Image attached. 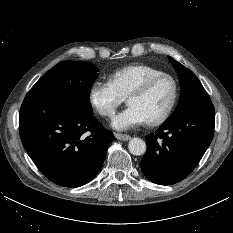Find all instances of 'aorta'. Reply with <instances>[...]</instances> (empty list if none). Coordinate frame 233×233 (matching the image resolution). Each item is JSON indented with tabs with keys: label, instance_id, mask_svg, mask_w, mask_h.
<instances>
[{
	"label": "aorta",
	"instance_id": "obj_1",
	"mask_svg": "<svg viewBox=\"0 0 233 233\" xmlns=\"http://www.w3.org/2000/svg\"><path fill=\"white\" fill-rule=\"evenodd\" d=\"M128 149L133 155H142L146 152V143L141 138H132L128 143Z\"/></svg>",
	"mask_w": 233,
	"mask_h": 233
}]
</instances>
